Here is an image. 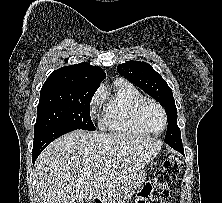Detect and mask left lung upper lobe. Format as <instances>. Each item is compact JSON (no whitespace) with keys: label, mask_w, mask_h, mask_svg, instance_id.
Instances as JSON below:
<instances>
[{"label":"left lung upper lobe","mask_w":222,"mask_h":203,"mask_svg":"<svg viewBox=\"0 0 222 203\" xmlns=\"http://www.w3.org/2000/svg\"><path fill=\"white\" fill-rule=\"evenodd\" d=\"M120 75L156 99L167 114L168 126L164 141L167 144H181V133L177 126V109L172 90L151 65L141 61H127L117 66Z\"/></svg>","instance_id":"left-lung-upper-lobe-1"}]
</instances>
